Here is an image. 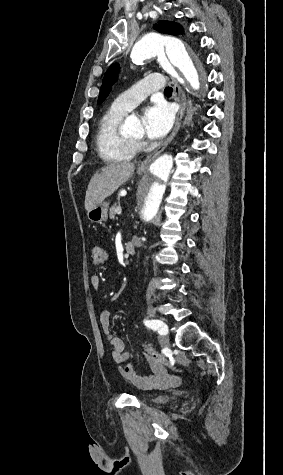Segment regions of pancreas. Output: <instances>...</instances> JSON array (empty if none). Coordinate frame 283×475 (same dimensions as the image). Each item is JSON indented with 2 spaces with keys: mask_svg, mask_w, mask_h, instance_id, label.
<instances>
[{
  "mask_svg": "<svg viewBox=\"0 0 283 475\" xmlns=\"http://www.w3.org/2000/svg\"><path fill=\"white\" fill-rule=\"evenodd\" d=\"M117 208H119V206H117V204H114V206H112V208H110L109 218H111V220H114Z\"/></svg>",
  "mask_w": 283,
  "mask_h": 475,
  "instance_id": "obj_1",
  "label": "pancreas"
}]
</instances>
